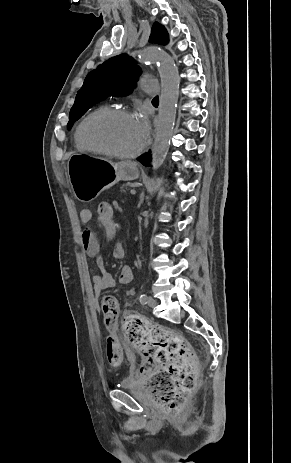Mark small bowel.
I'll return each instance as SVG.
<instances>
[{
    "mask_svg": "<svg viewBox=\"0 0 291 463\" xmlns=\"http://www.w3.org/2000/svg\"><path fill=\"white\" fill-rule=\"evenodd\" d=\"M93 215L91 210L89 209H82L80 212V220L84 224H89L92 221ZM114 218V217H113ZM98 221V218H97ZM103 228L104 236L108 239H111L115 236L117 231V225L114 221L113 226H101ZM81 244L85 252L95 260L100 273L94 274L91 276V282L93 284V288L96 293H100L107 289H111L116 285V280L109 273L105 267L102 255L99 249L98 240L94 234V232L86 228L81 233ZM125 250L124 247L120 244H117L114 247L113 255L115 258H122L124 257ZM133 280V271L129 266H124L119 274V283L121 284H128Z\"/></svg>",
    "mask_w": 291,
    "mask_h": 463,
    "instance_id": "1",
    "label": "small bowel"
}]
</instances>
